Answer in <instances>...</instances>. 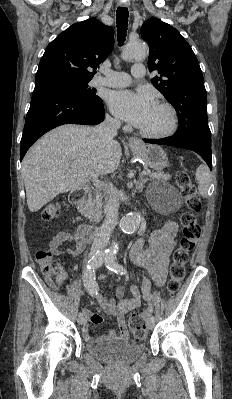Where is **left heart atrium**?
I'll return each mask as SVG.
<instances>
[{
  "label": "left heart atrium",
  "mask_w": 232,
  "mask_h": 399,
  "mask_svg": "<svg viewBox=\"0 0 232 399\" xmlns=\"http://www.w3.org/2000/svg\"><path fill=\"white\" fill-rule=\"evenodd\" d=\"M111 112L118 118L139 127L149 116L153 104L147 95L129 91L113 92L108 100Z\"/></svg>",
  "instance_id": "1"
}]
</instances>
